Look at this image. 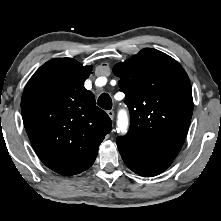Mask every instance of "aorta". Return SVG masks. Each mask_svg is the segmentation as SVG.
Here are the masks:
<instances>
[{
    "instance_id": "obj_1",
    "label": "aorta",
    "mask_w": 221,
    "mask_h": 221,
    "mask_svg": "<svg viewBox=\"0 0 221 221\" xmlns=\"http://www.w3.org/2000/svg\"><path fill=\"white\" fill-rule=\"evenodd\" d=\"M128 128V118L125 114H121L119 116L118 122H117V130L120 133H126Z\"/></svg>"
}]
</instances>
